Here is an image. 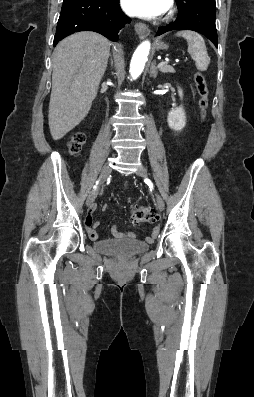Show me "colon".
Instances as JSON below:
<instances>
[{
    "label": "colon",
    "instance_id": "1",
    "mask_svg": "<svg viewBox=\"0 0 254 397\" xmlns=\"http://www.w3.org/2000/svg\"><path fill=\"white\" fill-rule=\"evenodd\" d=\"M194 82L199 94L198 107L200 111V116L204 120L207 115V108L209 103V91L206 85L205 77L202 73L197 72L194 75ZM86 133L82 130L75 131L71 134L68 141L67 147L68 151L72 155L79 154L84 145L86 144ZM131 217L134 223L140 224L145 222H154L157 220V215L147 206H138L132 209Z\"/></svg>",
    "mask_w": 254,
    "mask_h": 397
}]
</instances>
